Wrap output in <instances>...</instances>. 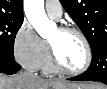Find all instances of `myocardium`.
Listing matches in <instances>:
<instances>
[{
	"label": "myocardium",
	"mask_w": 107,
	"mask_h": 89,
	"mask_svg": "<svg viewBox=\"0 0 107 89\" xmlns=\"http://www.w3.org/2000/svg\"><path fill=\"white\" fill-rule=\"evenodd\" d=\"M58 30L62 33H71V34L77 35L81 39L85 47L86 58L83 66L80 67L79 69H75V70L69 69L60 61L54 46L51 44V42H49L51 58L55 68L57 69V71L68 75H78L85 72L90 67L92 63V58H93L91 45L87 37L81 30L72 26H62V27H59Z\"/></svg>",
	"instance_id": "myocardium-1"
}]
</instances>
